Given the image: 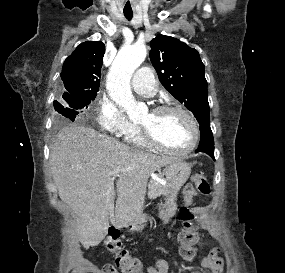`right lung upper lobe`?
Here are the masks:
<instances>
[{
    "mask_svg": "<svg viewBox=\"0 0 285 273\" xmlns=\"http://www.w3.org/2000/svg\"><path fill=\"white\" fill-rule=\"evenodd\" d=\"M105 45L100 41H87L77 46L66 58L61 79L64 97L97 94Z\"/></svg>",
    "mask_w": 285,
    "mask_h": 273,
    "instance_id": "obj_1",
    "label": "right lung upper lobe"
}]
</instances>
